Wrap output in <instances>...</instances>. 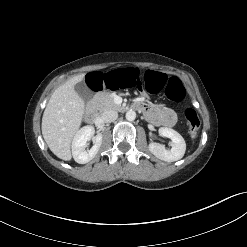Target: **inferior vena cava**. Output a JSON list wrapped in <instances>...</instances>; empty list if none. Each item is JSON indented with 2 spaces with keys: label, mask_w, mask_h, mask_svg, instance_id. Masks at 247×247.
<instances>
[{
  "label": "inferior vena cava",
  "mask_w": 247,
  "mask_h": 247,
  "mask_svg": "<svg viewBox=\"0 0 247 247\" xmlns=\"http://www.w3.org/2000/svg\"><path fill=\"white\" fill-rule=\"evenodd\" d=\"M118 118V113L114 110L108 109L102 113V119L106 123H111Z\"/></svg>",
  "instance_id": "obj_1"
}]
</instances>
